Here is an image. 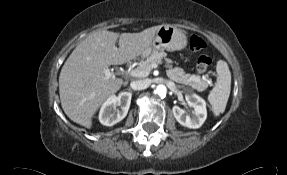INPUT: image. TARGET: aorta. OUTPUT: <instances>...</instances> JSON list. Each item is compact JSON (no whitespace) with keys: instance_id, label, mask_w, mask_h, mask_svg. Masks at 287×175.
I'll return each mask as SVG.
<instances>
[{"instance_id":"1","label":"aorta","mask_w":287,"mask_h":175,"mask_svg":"<svg viewBox=\"0 0 287 175\" xmlns=\"http://www.w3.org/2000/svg\"><path fill=\"white\" fill-rule=\"evenodd\" d=\"M155 94L159 95L160 97H165L167 93V88L165 85L160 84L154 90Z\"/></svg>"}]
</instances>
